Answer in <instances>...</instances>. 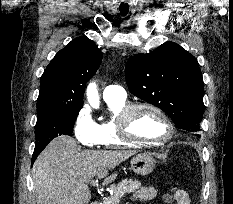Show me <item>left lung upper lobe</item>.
<instances>
[{"label": "left lung upper lobe", "mask_w": 233, "mask_h": 204, "mask_svg": "<svg viewBox=\"0 0 233 204\" xmlns=\"http://www.w3.org/2000/svg\"><path fill=\"white\" fill-rule=\"evenodd\" d=\"M130 92L168 114L176 127L200 137L203 79L197 59L174 42L131 57L125 68Z\"/></svg>", "instance_id": "5c2ea615"}]
</instances>
